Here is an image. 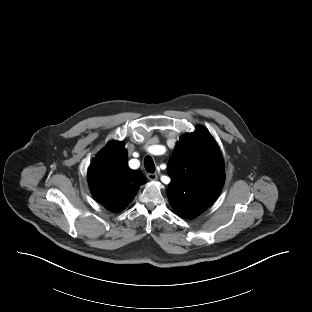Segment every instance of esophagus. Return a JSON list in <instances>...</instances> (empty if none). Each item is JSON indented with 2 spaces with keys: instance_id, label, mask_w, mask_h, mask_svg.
I'll list each match as a JSON object with an SVG mask.
<instances>
[{
  "instance_id": "obj_1",
  "label": "esophagus",
  "mask_w": 312,
  "mask_h": 312,
  "mask_svg": "<svg viewBox=\"0 0 312 312\" xmlns=\"http://www.w3.org/2000/svg\"><path fill=\"white\" fill-rule=\"evenodd\" d=\"M147 178H148L149 180H151V181H155V180L158 179V176H157L156 173H148V174H147Z\"/></svg>"
}]
</instances>
